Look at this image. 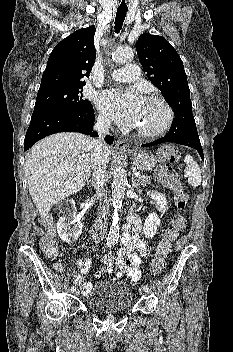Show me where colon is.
I'll return each instance as SVG.
<instances>
[{"label":"colon","instance_id":"colon-1","mask_svg":"<svg viewBox=\"0 0 233 352\" xmlns=\"http://www.w3.org/2000/svg\"><path fill=\"white\" fill-rule=\"evenodd\" d=\"M179 158V152L176 148L166 146L160 149L158 153V164L156 174L159 181L166 187L173 190L175 194V204L178 210L185 209L188 203V194L183 189L178 175L174 171L172 164ZM186 227V219L182 215H175L170 226L166 229L163 237L156 245L155 253L150 260L149 270L152 274L161 273L166 265V260L172 251L173 242L177 239L180 232ZM45 234L39 240L41 251L49 258L55 259L58 256V244L56 242V230L52 221L45 223ZM114 259L106 255L101 260L96 276L109 271L113 266Z\"/></svg>","mask_w":233,"mask_h":352}]
</instances>
